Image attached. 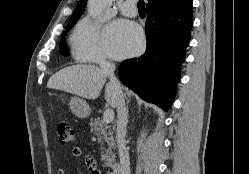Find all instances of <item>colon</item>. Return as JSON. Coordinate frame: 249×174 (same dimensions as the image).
<instances>
[{"label":"colon","mask_w":249,"mask_h":174,"mask_svg":"<svg viewBox=\"0 0 249 174\" xmlns=\"http://www.w3.org/2000/svg\"><path fill=\"white\" fill-rule=\"evenodd\" d=\"M56 131L60 144L66 146L73 142L74 131L71 125L66 121H60L57 123Z\"/></svg>","instance_id":"colon-1"}]
</instances>
